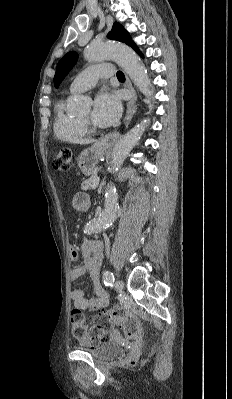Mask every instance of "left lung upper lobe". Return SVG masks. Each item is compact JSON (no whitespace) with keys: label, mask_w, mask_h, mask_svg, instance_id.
<instances>
[{"label":"left lung upper lobe","mask_w":232,"mask_h":399,"mask_svg":"<svg viewBox=\"0 0 232 399\" xmlns=\"http://www.w3.org/2000/svg\"><path fill=\"white\" fill-rule=\"evenodd\" d=\"M108 38L124 42L131 46L134 50L138 49L137 45L132 41L128 32L123 28L122 25L115 22L113 24L112 30L108 33ZM78 59V54L76 52H69L59 61L56 67V73L54 76V85L58 87L65 76L69 73L72 67L75 65Z\"/></svg>","instance_id":"5c2ea615"}]
</instances>
